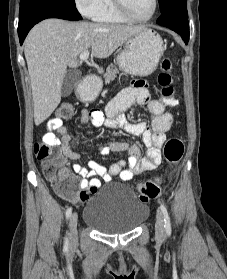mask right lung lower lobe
<instances>
[{
    "label": "right lung lower lobe",
    "instance_id": "obj_1",
    "mask_svg": "<svg viewBox=\"0 0 227 279\" xmlns=\"http://www.w3.org/2000/svg\"><path fill=\"white\" fill-rule=\"evenodd\" d=\"M47 18L71 21L82 19L76 7L61 0H29L20 5L18 24L20 44L23 43L26 35L35 24Z\"/></svg>",
    "mask_w": 227,
    "mask_h": 279
}]
</instances>
